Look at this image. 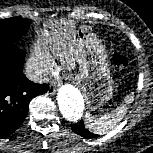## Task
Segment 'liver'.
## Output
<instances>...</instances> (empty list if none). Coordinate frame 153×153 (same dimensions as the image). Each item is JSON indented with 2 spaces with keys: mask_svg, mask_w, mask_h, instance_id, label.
I'll use <instances>...</instances> for the list:
<instances>
[{
  "mask_svg": "<svg viewBox=\"0 0 153 153\" xmlns=\"http://www.w3.org/2000/svg\"><path fill=\"white\" fill-rule=\"evenodd\" d=\"M75 24L72 21H61L50 26V31L45 32L47 41L57 51L63 64L74 68L80 62V52L77 49Z\"/></svg>",
  "mask_w": 153,
  "mask_h": 153,
  "instance_id": "6515ba94",
  "label": "liver"
}]
</instances>
